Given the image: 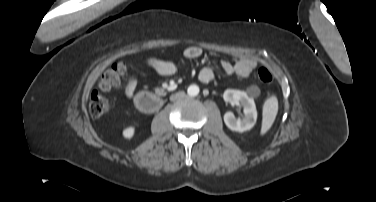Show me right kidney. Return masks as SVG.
<instances>
[{
  "label": "right kidney",
  "mask_w": 376,
  "mask_h": 202,
  "mask_svg": "<svg viewBox=\"0 0 376 202\" xmlns=\"http://www.w3.org/2000/svg\"><path fill=\"white\" fill-rule=\"evenodd\" d=\"M134 132H135V128L134 127H128L126 128L124 131H123V136L127 139H130L133 137L134 135Z\"/></svg>",
  "instance_id": "right-kidney-1"
}]
</instances>
